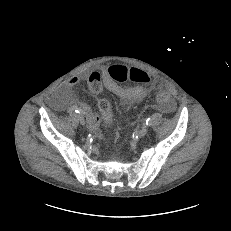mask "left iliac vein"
Returning <instances> with one entry per match:
<instances>
[{"mask_svg": "<svg viewBox=\"0 0 231 231\" xmlns=\"http://www.w3.org/2000/svg\"><path fill=\"white\" fill-rule=\"evenodd\" d=\"M147 132H148V127L145 125L139 130L138 136L144 137L147 134Z\"/></svg>", "mask_w": 231, "mask_h": 231, "instance_id": "4c4485c4", "label": "left iliac vein"}]
</instances>
